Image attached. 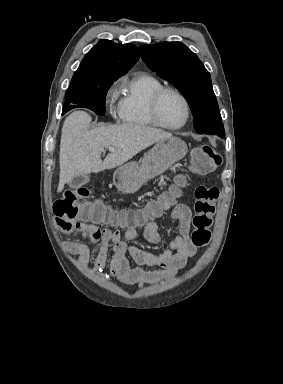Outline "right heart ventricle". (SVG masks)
I'll use <instances>...</instances> for the list:
<instances>
[{
  "label": "right heart ventricle",
  "mask_w": 283,
  "mask_h": 384,
  "mask_svg": "<svg viewBox=\"0 0 283 384\" xmlns=\"http://www.w3.org/2000/svg\"><path fill=\"white\" fill-rule=\"evenodd\" d=\"M162 87L159 80L142 72L126 77L118 104L122 123L138 129H153L155 125L148 116L147 105L152 95Z\"/></svg>",
  "instance_id": "obj_1"
}]
</instances>
